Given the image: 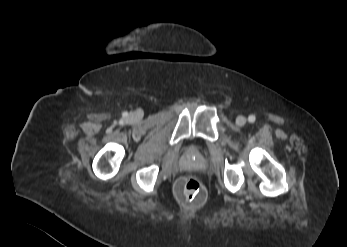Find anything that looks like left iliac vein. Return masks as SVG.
I'll return each mask as SVG.
<instances>
[{"label": "left iliac vein", "instance_id": "obj_1", "mask_svg": "<svg viewBox=\"0 0 347 247\" xmlns=\"http://www.w3.org/2000/svg\"><path fill=\"white\" fill-rule=\"evenodd\" d=\"M236 124L238 125V126H244L245 124H246V118L244 117V116H238L237 118H236Z\"/></svg>", "mask_w": 347, "mask_h": 247}]
</instances>
